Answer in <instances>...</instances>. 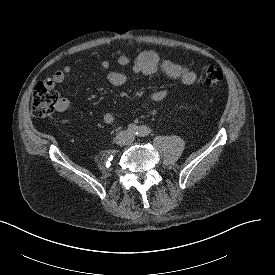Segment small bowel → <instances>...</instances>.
Returning a JSON list of instances; mask_svg holds the SVG:
<instances>
[{"instance_id": "1", "label": "small bowel", "mask_w": 275, "mask_h": 275, "mask_svg": "<svg viewBox=\"0 0 275 275\" xmlns=\"http://www.w3.org/2000/svg\"><path fill=\"white\" fill-rule=\"evenodd\" d=\"M119 66H127L131 64L132 71L142 75H153L156 73H162L168 78L179 80L184 85H192L196 82V74L184 65L174 63L172 61L163 60L160 56L153 51H145L135 57L132 61L127 56H120L117 59ZM102 69L106 72L108 82L113 86H123L129 82V76L122 72L111 71L110 62L103 60L101 62ZM73 68L71 66H65L64 68L56 71L46 83L53 87L59 83H62L66 79H75ZM168 91L164 88L158 89L151 93L150 100L154 102H160L166 99ZM70 108V103L67 99L61 98L57 110L59 112L67 111ZM103 120L106 124H113L115 116L105 111L103 113Z\"/></svg>"}]
</instances>
